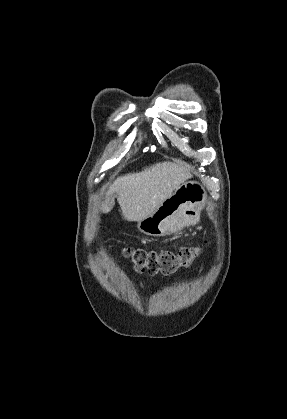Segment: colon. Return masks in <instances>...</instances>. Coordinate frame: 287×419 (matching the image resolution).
I'll return each instance as SVG.
<instances>
[{"label": "colon", "instance_id": "1", "mask_svg": "<svg viewBox=\"0 0 287 419\" xmlns=\"http://www.w3.org/2000/svg\"><path fill=\"white\" fill-rule=\"evenodd\" d=\"M198 252V247H184L177 252L140 248L125 249V254L131 258L135 269L139 272H148L150 275H170L188 266Z\"/></svg>", "mask_w": 287, "mask_h": 419}]
</instances>
